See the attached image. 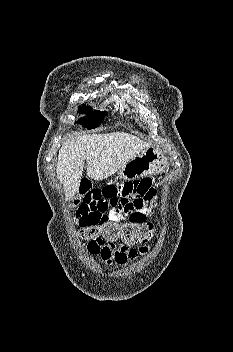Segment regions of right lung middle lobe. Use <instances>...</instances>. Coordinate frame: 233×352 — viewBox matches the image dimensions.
I'll use <instances>...</instances> for the list:
<instances>
[{
  "instance_id": "1",
  "label": "right lung middle lobe",
  "mask_w": 233,
  "mask_h": 352,
  "mask_svg": "<svg viewBox=\"0 0 233 352\" xmlns=\"http://www.w3.org/2000/svg\"><path fill=\"white\" fill-rule=\"evenodd\" d=\"M92 108L90 106H86L85 104L79 108V113L83 114H88L87 117L81 118L78 120V123L82 124L84 127H87L88 129L96 128L98 127L105 115L106 112H101V111H92Z\"/></svg>"
}]
</instances>
